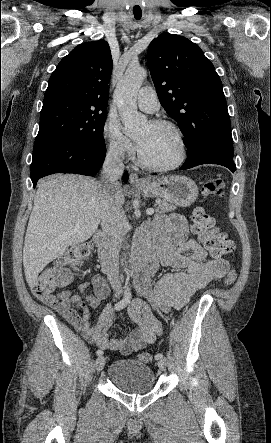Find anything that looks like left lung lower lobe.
<instances>
[{
	"label": "left lung lower lobe",
	"mask_w": 271,
	"mask_h": 443,
	"mask_svg": "<svg viewBox=\"0 0 271 443\" xmlns=\"http://www.w3.org/2000/svg\"><path fill=\"white\" fill-rule=\"evenodd\" d=\"M184 165L180 170L192 168L201 164H219L227 167L232 172L235 171L233 153V140H225L222 138H208L202 141L198 148L187 154Z\"/></svg>",
	"instance_id": "1"
}]
</instances>
